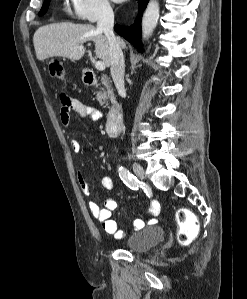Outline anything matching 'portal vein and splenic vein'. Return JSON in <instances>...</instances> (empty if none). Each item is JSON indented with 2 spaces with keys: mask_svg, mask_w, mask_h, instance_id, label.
Wrapping results in <instances>:
<instances>
[{
  "mask_svg": "<svg viewBox=\"0 0 247 299\" xmlns=\"http://www.w3.org/2000/svg\"><path fill=\"white\" fill-rule=\"evenodd\" d=\"M95 68L99 71L105 70V64L102 61H96Z\"/></svg>",
  "mask_w": 247,
  "mask_h": 299,
  "instance_id": "18ae733b",
  "label": "portal vein and splenic vein"
}]
</instances>
